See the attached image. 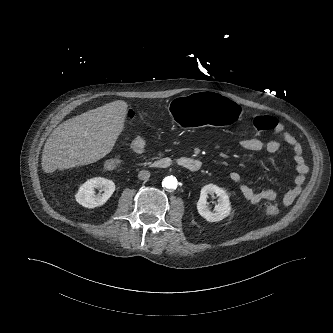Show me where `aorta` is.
I'll use <instances>...</instances> for the list:
<instances>
[{
  "instance_id": "aorta-1",
  "label": "aorta",
  "mask_w": 333,
  "mask_h": 333,
  "mask_svg": "<svg viewBox=\"0 0 333 333\" xmlns=\"http://www.w3.org/2000/svg\"><path fill=\"white\" fill-rule=\"evenodd\" d=\"M162 185L167 189H175L177 187V179L173 176H168L163 180Z\"/></svg>"
}]
</instances>
